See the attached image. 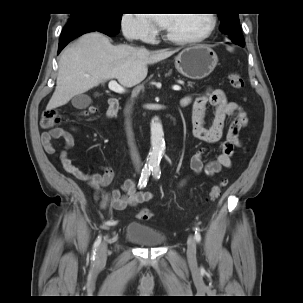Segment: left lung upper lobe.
<instances>
[{
    "label": "left lung upper lobe",
    "instance_id": "obj_1",
    "mask_svg": "<svg viewBox=\"0 0 303 303\" xmlns=\"http://www.w3.org/2000/svg\"><path fill=\"white\" fill-rule=\"evenodd\" d=\"M220 30L227 34L235 44H245L237 13H220Z\"/></svg>",
    "mask_w": 303,
    "mask_h": 303
}]
</instances>
